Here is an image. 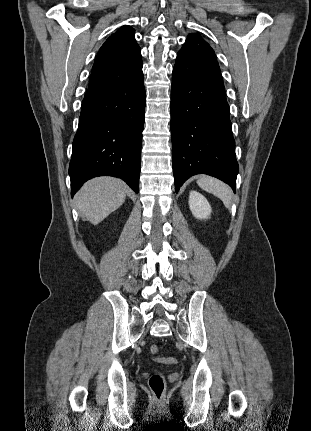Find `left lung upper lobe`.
<instances>
[{"label": "left lung upper lobe", "instance_id": "1", "mask_svg": "<svg viewBox=\"0 0 311 431\" xmlns=\"http://www.w3.org/2000/svg\"><path fill=\"white\" fill-rule=\"evenodd\" d=\"M181 50L193 51L216 59L213 49L198 34H190Z\"/></svg>", "mask_w": 311, "mask_h": 431}]
</instances>
